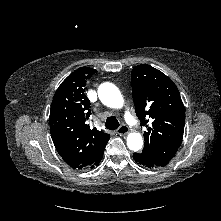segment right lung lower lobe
<instances>
[{
    "label": "right lung lower lobe",
    "mask_w": 221,
    "mask_h": 221,
    "mask_svg": "<svg viewBox=\"0 0 221 221\" xmlns=\"http://www.w3.org/2000/svg\"><path fill=\"white\" fill-rule=\"evenodd\" d=\"M102 157H103V153H102V155L98 158V160L91 166V168L94 167L95 165H98L99 162L101 161Z\"/></svg>",
    "instance_id": "98d812e1"
}]
</instances>
